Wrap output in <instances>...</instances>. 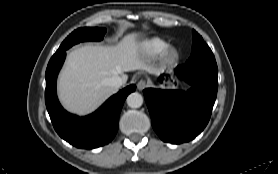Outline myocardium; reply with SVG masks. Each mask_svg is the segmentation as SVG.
I'll return each instance as SVG.
<instances>
[{
    "instance_id": "1",
    "label": "myocardium",
    "mask_w": 278,
    "mask_h": 174,
    "mask_svg": "<svg viewBox=\"0 0 278 174\" xmlns=\"http://www.w3.org/2000/svg\"><path fill=\"white\" fill-rule=\"evenodd\" d=\"M178 58V53L173 47H167L162 53V59L167 63H173Z\"/></svg>"
}]
</instances>
